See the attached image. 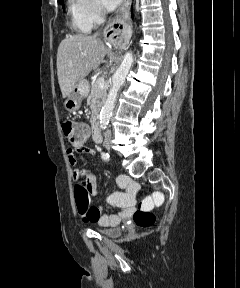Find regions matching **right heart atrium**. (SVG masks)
Instances as JSON below:
<instances>
[{
  "label": "right heart atrium",
  "instance_id": "d8ad5b80",
  "mask_svg": "<svg viewBox=\"0 0 240 288\" xmlns=\"http://www.w3.org/2000/svg\"><path fill=\"white\" fill-rule=\"evenodd\" d=\"M82 19L90 26L100 23L105 17V11L100 0H75Z\"/></svg>",
  "mask_w": 240,
  "mask_h": 288
}]
</instances>
